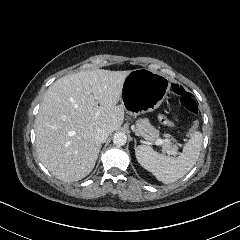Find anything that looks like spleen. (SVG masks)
I'll list each match as a JSON object with an SVG mask.
<instances>
[{"mask_svg": "<svg viewBox=\"0 0 240 240\" xmlns=\"http://www.w3.org/2000/svg\"><path fill=\"white\" fill-rule=\"evenodd\" d=\"M202 134L195 132L184 145L182 153L174 158L160 154L150 146L139 145L135 155L139 164L164 184L176 182L196 164L202 146Z\"/></svg>", "mask_w": 240, "mask_h": 240, "instance_id": "spleen-1", "label": "spleen"}]
</instances>
